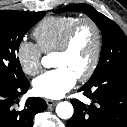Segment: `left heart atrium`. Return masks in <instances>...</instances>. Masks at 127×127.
<instances>
[{
	"mask_svg": "<svg viewBox=\"0 0 127 127\" xmlns=\"http://www.w3.org/2000/svg\"><path fill=\"white\" fill-rule=\"evenodd\" d=\"M77 77L69 69L58 67L37 77L33 82L34 92L41 97L58 99L76 83Z\"/></svg>",
	"mask_w": 127,
	"mask_h": 127,
	"instance_id": "1",
	"label": "left heart atrium"
}]
</instances>
